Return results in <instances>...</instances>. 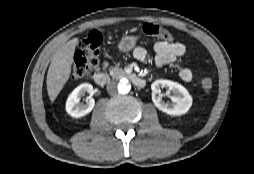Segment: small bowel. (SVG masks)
<instances>
[{"mask_svg":"<svg viewBox=\"0 0 254 174\" xmlns=\"http://www.w3.org/2000/svg\"><path fill=\"white\" fill-rule=\"evenodd\" d=\"M155 51L154 63L157 67L177 62L186 53V46L180 42L156 41L153 45ZM133 57L138 61L147 59V51L143 47L134 48ZM107 63H103L105 68ZM180 78L185 82H190L193 78V72L189 68H182L179 72Z\"/></svg>","mask_w":254,"mask_h":174,"instance_id":"1","label":"small bowel"}]
</instances>
